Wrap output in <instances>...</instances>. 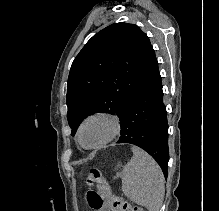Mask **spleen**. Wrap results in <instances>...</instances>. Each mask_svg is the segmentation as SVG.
Segmentation results:
<instances>
[{
    "mask_svg": "<svg viewBox=\"0 0 219 211\" xmlns=\"http://www.w3.org/2000/svg\"><path fill=\"white\" fill-rule=\"evenodd\" d=\"M133 157L122 171V191L148 211H159L164 199V175L160 165L141 147L132 145Z\"/></svg>",
    "mask_w": 219,
    "mask_h": 211,
    "instance_id": "1",
    "label": "spleen"
}]
</instances>
